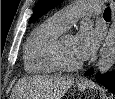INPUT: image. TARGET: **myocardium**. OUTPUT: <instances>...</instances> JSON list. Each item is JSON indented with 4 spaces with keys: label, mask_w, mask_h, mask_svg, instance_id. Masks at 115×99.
Segmentation results:
<instances>
[{
    "label": "myocardium",
    "mask_w": 115,
    "mask_h": 99,
    "mask_svg": "<svg viewBox=\"0 0 115 99\" xmlns=\"http://www.w3.org/2000/svg\"><path fill=\"white\" fill-rule=\"evenodd\" d=\"M64 36H60L55 41L53 48H52V58L59 70L64 71H74L82 67L83 62L78 63H70L68 62L62 53V40Z\"/></svg>",
    "instance_id": "f54148a6"
}]
</instances>
